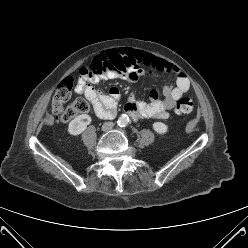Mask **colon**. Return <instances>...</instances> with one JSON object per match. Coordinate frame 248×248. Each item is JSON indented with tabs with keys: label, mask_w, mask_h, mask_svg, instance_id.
<instances>
[{
	"label": "colon",
	"mask_w": 248,
	"mask_h": 248,
	"mask_svg": "<svg viewBox=\"0 0 248 248\" xmlns=\"http://www.w3.org/2000/svg\"><path fill=\"white\" fill-rule=\"evenodd\" d=\"M128 68V64L124 59L115 52L109 53L107 57L95 58L88 66V72L91 74L103 73L108 71L121 72ZM73 87V79L66 78L58 85L52 100V110L56 120L59 123H68L77 115L89 111V103L84 99H77L68 107H64V103L71 97ZM194 103L189 97H183L178 100L175 106L176 114H187L193 110Z\"/></svg>",
	"instance_id": "5ec220e1"
}]
</instances>
